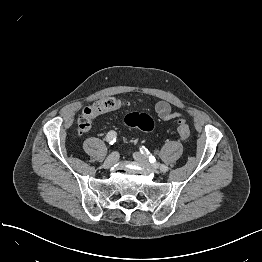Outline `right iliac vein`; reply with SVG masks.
<instances>
[{"label": "right iliac vein", "mask_w": 262, "mask_h": 262, "mask_svg": "<svg viewBox=\"0 0 262 262\" xmlns=\"http://www.w3.org/2000/svg\"><path fill=\"white\" fill-rule=\"evenodd\" d=\"M118 157H119V155H118L117 152L111 153V154L107 157V159L104 161L103 167H104L105 169L111 168V167L118 161Z\"/></svg>", "instance_id": "obj_1"}]
</instances>
